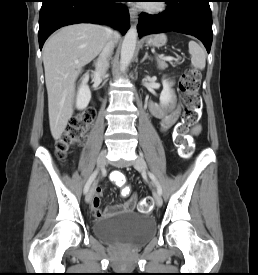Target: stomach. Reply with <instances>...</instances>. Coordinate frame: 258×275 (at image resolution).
<instances>
[{"label": "stomach", "mask_w": 258, "mask_h": 275, "mask_svg": "<svg viewBox=\"0 0 258 275\" xmlns=\"http://www.w3.org/2000/svg\"><path fill=\"white\" fill-rule=\"evenodd\" d=\"M166 35L161 33V34H156L153 36H150L147 38V44L150 46H155V47H161L166 43Z\"/></svg>", "instance_id": "obj_1"}]
</instances>
